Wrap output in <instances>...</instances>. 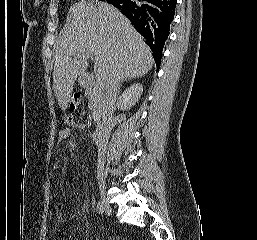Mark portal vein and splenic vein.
<instances>
[{"mask_svg": "<svg viewBox=\"0 0 257 240\" xmlns=\"http://www.w3.org/2000/svg\"><path fill=\"white\" fill-rule=\"evenodd\" d=\"M84 58H87V59H88V58H91V59H92L93 56H92L91 54H87V55L84 56ZM102 86H103V83H101V82L98 81V84H97V88H96V89H97V90H101Z\"/></svg>", "mask_w": 257, "mask_h": 240, "instance_id": "18ae733b", "label": "portal vein and splenic vein"}]
</instances>
